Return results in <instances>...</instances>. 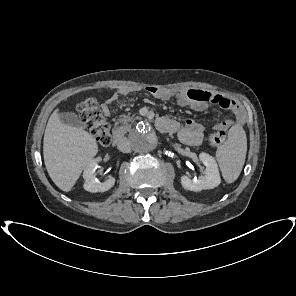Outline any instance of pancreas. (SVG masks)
I'll use <instances>...</instances> for the list:
<instances>
[{
    "mask_svg": "<svg viewBox=\"0 0 296 296\" xmlns=\"http://www.w3.org/2000/svg\"><path fill=\"white\" fill-rule=\"evenodd\" d=\"M133 122V117L129 115L122 116L117 123H120L119 131L123 134L127 133L131 129V123Z\"/></svg>",
    "mask_w": 296,
    "mask_h": 296,
    "instance_id": "cf45deb5",
    "label": "pancreas"
}]
</instances>
